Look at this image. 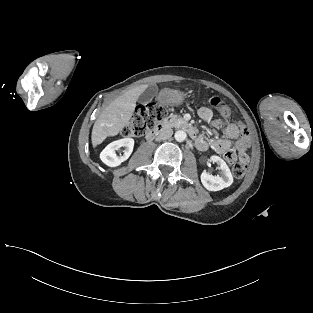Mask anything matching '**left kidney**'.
Here are the masks:
<instances>
[{"mask_svg": "<svg viewBox=\"0 0 313 313\" xmlns=\"http://www.w3.org/2000/svg\"><path fill=\"white\" fill-rule=\"evenodd\" d=\"M210 161L217 163L221 169L220 176H214L206 171L201 174V182L209 191H219L229 187L233 183V176L226 162L219 156H212Z\"/></svg>", "mask_w": 313, "mask_h": 313, "instance_id": "obj_1", "label": "left kidney"}]
</instances>
